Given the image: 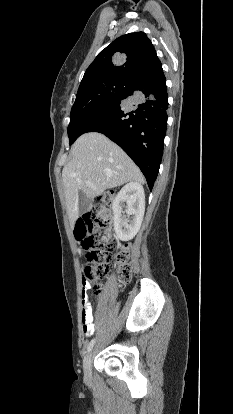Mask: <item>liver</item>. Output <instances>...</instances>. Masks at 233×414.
<instances>
[{
    "mask_svg": "<svg viewBox=\"0 0 233 414\" xmlns=\"http://www.w3.org/2000/svg\"><path fill=\"white\" fill-rule=\"evenodd\" d=\"M71 161L62 170L70 224L79 217V193L92 201L105 190L128 182L144 183L140 169L114 142L97 132L81 135L71 147Z\"/></svg>",
    "mask_w": 233,
    "mask_h": 414,
    "instance_id": "obj_1",
    "label": "liver"
}]
</instances>
